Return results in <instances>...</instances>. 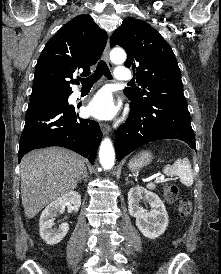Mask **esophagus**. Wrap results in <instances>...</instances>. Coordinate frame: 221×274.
<instances>
[{"label": "esophagus", "mask_w": 221, "mask_h": 274, "mask_svg": "<svg viewBox=\"0 0 221 274\" xmlns=\"http://www.w3.org/2000/svg\"><path fill=\"white\" fill-rule=\"evenodd\" d=\"M109 53H110V46H109V42H107L103 55H104V59L106 60V62L109 65V67L113 68V64L111 63L110 58H109ZM100 128L104 134H108L110 132L109 125H107L105 123H100Z\"/></svg>", "instance_id": "34e87169"}]
</instances>
